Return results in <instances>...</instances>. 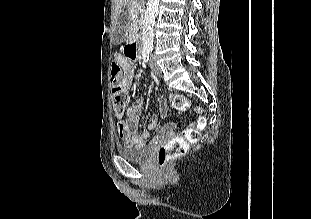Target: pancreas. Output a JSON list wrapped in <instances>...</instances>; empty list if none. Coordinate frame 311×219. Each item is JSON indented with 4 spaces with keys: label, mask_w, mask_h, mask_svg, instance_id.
Segmentation results:
<instances>
[{
    "label": "pancreas",
    "mask_w": 311,
    "mask_h": 219,
    "mask_svg": "<svg viewBox=\"0 0 311 219\" xmlns=\"http://www.w3.org/2000/svg\"><path fill=\"white\" fill-rule=\"evenodd\" d=\"M142 3L138 2L136 4V6H133L130 10H129V14L131 16V24H130V30L135 32L138 30V28L141 25L142 22Z\"/></svg>",
    "instance_id": "obj_1"
}]
</instances>
